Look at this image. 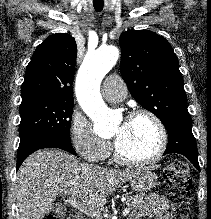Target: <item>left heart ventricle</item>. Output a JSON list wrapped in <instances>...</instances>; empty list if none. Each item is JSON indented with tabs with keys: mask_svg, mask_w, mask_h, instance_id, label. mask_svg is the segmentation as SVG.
Masks as SVG:
<instances>
[{
	"mask_svg": "<svg viewBox=\"0 0 211 219\" xmlns=\"http://www.w3.org/2000/svg\"><path fill=\"white\" fill-rule=\"evenodd\" d=\"M120 152L127 158L141 160L150 157L157 149L159 133L146 117L118 123L111 134Z\"/></svg>",
	"mask_w": 211,
	"mask_h": 219,
	"instance_id": "1",
	"label": "left heart ventricle"
}]
</instances>
